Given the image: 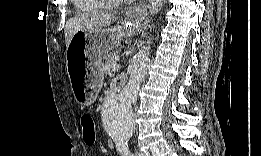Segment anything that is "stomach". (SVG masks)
I'll return each instance as SVG.
<instances>
[{"mask_svg":"<svg viewBox=\"0 0 261 156\" xmlns=\"http://www.w3.org/2000/svg\"><path fill=\"white\" fill-rule=\"evenodd\" d=\"M145 12L136 7L129 9L124 20L108 30H81L73 35L66 49L67 70L76 101L82 106L91 105L100 90L102 60L120 37L135 35L141 30ZM85 55V67L78 69L77 60Z\"/></svg>","mask_w":261,"mask_h":156,"instance_id":"obj_1","label":"stomach"}]
</instances>
